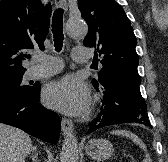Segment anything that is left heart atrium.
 I'll use <instances>...</instances> for the list:
<instances>
[{
  "label": "left heart atrium",
  "instance_id": "obj_1",
  "mask_svg": "<svg viewBox=\"0 0 168 162\" xmlns=\"http://www.w3.org/2000/svg\"><path fill=\"white\" fill-rule=\"evenodd\" d=\"M43 97L49 107L72 115L84 112L90 104L89 89L73 75L48 84Z\"/></svg>",
  "mask_w": 168,
  "mask_h": 162
}]
</instances>
